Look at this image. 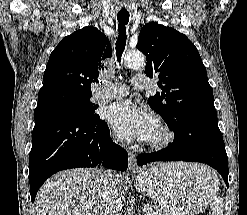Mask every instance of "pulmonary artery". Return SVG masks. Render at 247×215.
I'll list each match as a JSON object with an SVG mask.
<instances>
[{
  "label": "pulmonary artery",
  "instance_id": "e3ab8cb5",
  "mask_svg": "<svg viewBox=\"0 0 247 215\" xmlns=\"http://www.w3.org/2000/svg\"><path fill=\"white\" fill-rule=\"evenodd\" d=\"M133 87L137 90L148 89L150 81L145 75L134 76L131 79ZM128 94V86L125 84L115 83L103 85L102 89L95 95L96 99H113L120 98Z\"/></svg>",
  "mask_w": 247,
  "mask_h": 215
}]
</instances>
